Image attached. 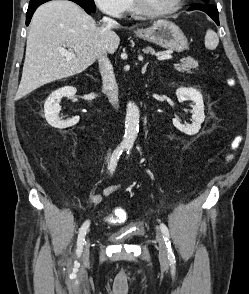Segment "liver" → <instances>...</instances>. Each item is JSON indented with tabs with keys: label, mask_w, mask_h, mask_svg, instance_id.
<instances>
[{
	"label": "liver",
	"mask_w": 249,
	"mask_h": 294,
	"mask_svg": "<svg viewBox=\"0 0 249 294\" xmlns=\"http://www.w3.org/2000/svg\"><path fill=\"white\" fill-rule=\"evenodd\" d=\"M119 43L112 27H96L93 18L74 2L53 0L41 5L31 20L16 98L85 71L102 51L113 54ZM60 48L75 52V58L66 60Z\"/></svg>",
	"instance_id": "6515ba94"
}]
</instances>
